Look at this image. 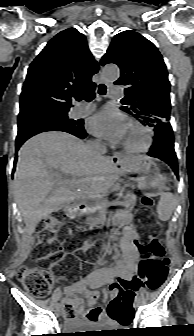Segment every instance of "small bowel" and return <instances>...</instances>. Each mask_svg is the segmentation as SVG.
Instances as JSON below:
<instances>
[{
  "label": "small bowel",
  "mask_w": 194,
  "mask_h": 336,
  "mask_svg": "<svg viewBox=\"0 0 194 336\" xmlns=\"http://www.w3.org/2000/svg\"><path fill=\"white\" fill-rule=\"evenodd\" d=\"M119 220L125 223V227L120 239V253H115L113 256V266L97 267L86 276L64 288L66 294L63 300L64 305L67 300L84 295L85 301L78 300L76 302V308L70 318L74 320L77 318L83 319L88 322L89 327L102 322H107L108 324L115 322L106 319L101 314L100 309L95 306L99 298L98 289L116 280L121 282L130 281L137 270L139 259L136 246L137 233L130 224L128 212L119 216Z\"/></svg>",
  "instance_id": "obj_1"
}]
</instances>
